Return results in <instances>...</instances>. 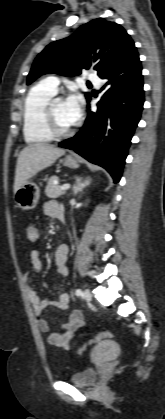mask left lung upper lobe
<instances>
[{"label": "left lung upper lobe", "instance_id": "left-lung-upper-lobe-1", "mask_svg": "<svg viewBox=\"0 0 165 419\" xmlns=\"http://www.w3.org/2000/svg\"><path fill=\"white\" fill-rule=\"evenodd\" d=\"M134 48L125 29L114 22L94 19L71 36L49 44L35 59L27 84L46 73L75 76L93 67L102 77ZM90 94L86 93L89 101Z\"/></svg>", "mask_w": 165, "mask_h": 419}]
</instances>
